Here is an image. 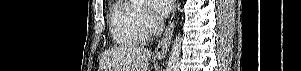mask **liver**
Here are the masks:
<instances>
[{
    "label": "liver",
    "instance_id": "obj_1",
    "mask_svg": "<svg viewBox=\"0 0 301 71\" xmlns=\"http://www.w3.org/2000/svg\"><path fill=\"white\" fill-rule=\"evenodd\" d=\"M151 51L141 46H125L106 52L102 58L104 71H147Z\"/></svg>",
    "mask_w": 301,
    "mask_h": 71
}]
</instances>
